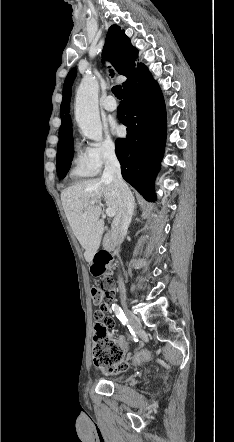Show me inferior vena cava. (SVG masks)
<instances>
[{
  "label": "inferior vena cava",
  "mask_w": 234,
  "mask_h": 442,
  "mask_svg": "<svg viewBox=\"0 0 234 442\" xmlns=\"http://www.w3.org/2000/svg\"><path fill=\"white\" fill-rule=\"evenodd\" d=\"M102 179L112 181L119 194V209L113 220L111 232L113 243L117 247V250H119L129 224L131 223L135 202L132 192L122 178L120 163L116 157L114 148H110L106 151ZM118 285L121 296L125 297L126 291L124 283L120 278L118 279Z\"/></svg>",
  "instance_id": "obj_1"
}]
</instances>
